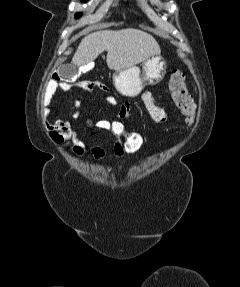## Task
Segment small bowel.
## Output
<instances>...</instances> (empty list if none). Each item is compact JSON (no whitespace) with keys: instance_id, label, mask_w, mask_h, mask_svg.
Returning <instances> with one entry per match:
<instances>
[{"instance_id":"obj_1","label":"small bowel","mask_w":240,"mask_h":287,"mask_svg":"<svg viewBox=\"0 0 240 287\" xmlns=\"http://www.w3.org/2000/svg\"><path fill=\"white\" fill-rule=\"evenodd\" d=\"M95 87L99 88L106 93L104 100L116 108V117L121 121H126L130 114V106L128 103L117 104V101L113 96L109 94V89L100 83H96ZM67 90L57 80L51 79L45 89V93L42 99V105L44 108L50 111V106L53 103L54 96L57 91ZM142 103L149 114L150 118L157 124H164L168 121V115L164 109L157 106L154 102V97L151 92L145 91L141 95ZM106 119V118H102ZM50 138L54 143L64 144V148L71 150L79 157H85L88 153V148L85 142H83L73 125L72 122L64 119H56V121L49 125ZM106 133L110 137L113 154L117 159L124 156V150L119 140L113 139L108 131L100 130ZM90 152L96 161H101L105 156V150L99 143H92L89 147Z\"/></svg>"}]
</instances>
